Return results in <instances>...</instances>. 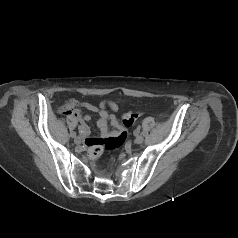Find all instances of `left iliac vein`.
Wrapping results in <instances>:
<instances>
[{"label":"left iliac vein","instance_id":"1","mask_svg":"<svg viewBox=\"0 0 238 238\" xmlns=\"http://www.w3.org/2000/svg\"><path fill=\"white\" fill-rule=\"evenodd\" d=\"M134 141L136 144H141L144 141V138L142 135H138Z\"/></svg>","mask_w":238,"mask_h":238}]
</instances>
